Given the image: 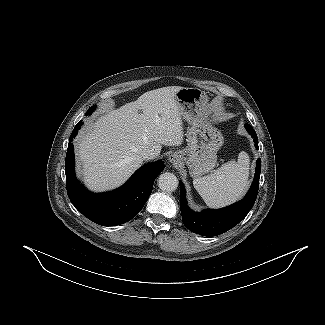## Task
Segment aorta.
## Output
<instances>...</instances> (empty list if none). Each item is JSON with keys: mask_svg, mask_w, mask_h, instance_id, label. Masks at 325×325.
<instances>
[{"mask_svg": "<svg viewBox=\"0 0 325 325\" xmlns=\"http://www.w3.org/2000/svg\"><path fill=\"white\" fill-rule=\"evenodd\" d=\"M158 187L165 192H173L178 187L177 177L170 172H164L159 175Z\"/></svg>", "mask_w": 325, "mask_h": 325, "instance_id": "1", "label": "aorta"}]
</instances>
